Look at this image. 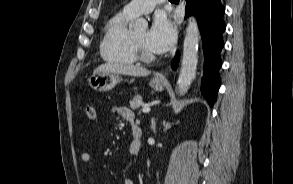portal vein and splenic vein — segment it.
I'll return each mask as SVG.
<instances>
[{
	"label": "portal vein and splenic vein",
	"instance_id": "portal-vein-and-splenic-vein-1",
	"mask_svg": "<svg viewBox=\"0 0 293 184\" xmlns=\"http://www.w3.org/2000/svg\"><path fill=\"white\" fill-rule=\"evenodd\" d=\"M142 112L143 113H149L150 112V108L149 107H143L142 108Z\"/></svg>",
	"mask_w": 293,
	"mask_h": 184
}]
</instances>
